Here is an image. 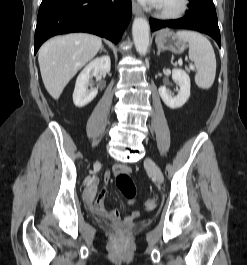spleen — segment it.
<instances>
[{
  "label": "spleen",
  "mask_w": 247,
  "mask_h": 265,
  "mask_svg": "<svg viewBox=\"0 0 247 265\" xmlns=\"http://www.w3.org/2000/svg\"><path fill=\"white\" fill-rule=\"evenodd\" d=\"M176 35L189 45V59L197 73L195 83L201 89H209L215 80L216 58L210 41L195 31L181 30Z\"/></svg>",
  "instance_id": "obj_1"
}]
</instances>
